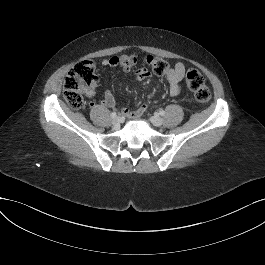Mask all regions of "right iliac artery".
I'll return each mask as SVG.
<instances>
[{
    "mask_svg": "<svg viewBox=\"0 0 265 265\" xmlns=\"http://www.w3.org/2000/svg\"><path fill=\"white\" fill-rule=\"evenodd\" d=\"M116 116H117L116 112H112V113H111V117H112V118H116Z\"/></svg>",
    "mask_w": 265,
    "mask_h": 265,
    "instance_id": "obj_1",
    "label": "right iliac artery"
}]
</instances>
